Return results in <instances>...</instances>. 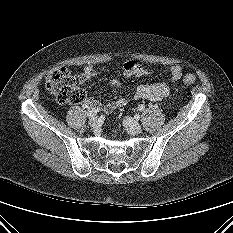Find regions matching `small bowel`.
<instances>
[{
    "mask_svg": "<svg viewBox=\"0 0 233 233\" xmlns=\"http://www.w3.org/2000/svg\"><path fill=\"white\" fill-rule=\"evenodd\" d=\"M122 73L126 78H139L147 75L149 72L145 67L135 62L133 59H127L123 63ZM98 74H100L99 70L92 66H88L78 76L77 81L80 85H83ZM169 75L172 81H178L182 76V68L178 65L171 66L169 68ZM108 84L115 88H122V83L118 79H112ZM170 95L171 91L168 85L163 81H159L152 84H141L136 88L131 97L123 96L105 105H101L94 97L87 98L84 104L87 107L94 108L100 106L103 111L109 113L115 109L126 106L131 100L148 99L159 102L169 98Z\"/></svg>",
    "mask_w": 233,
    "mask_h": 233,
    "instance_id": "obj_1",
    "label": "small bowel"
}]
</instances>
